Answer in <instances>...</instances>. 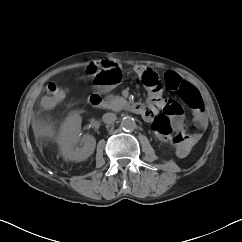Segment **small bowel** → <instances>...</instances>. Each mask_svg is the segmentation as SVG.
Listing matches in <instances>:
<instances>
[{
    "mask_svg": "<svg viewBox=\"0 0 242 242\" xmlns=\"http://www.w3.org/2000/svg\"><path fill=\"white\" fill-rule=\"evenodd\" d=\"M101 64L105 67H114L120 70V65L112 61H103ZM135 70L141 79L145 73L153 72L143 66H136ZM168 74H172L181 81H184L177 73L172 71L166 73L165 80ZM101 88L109 90L111 87L106 86ZM149 102L150 104L145 106L146 111L142 117L145 120H152L158 108L162 107L165 117H168L167 119L169 120L171 128V133L166 137V141L173 144L180 155H186L197 143L205 129L206 116L203 111L201 109L195 110L192 121L186 123L181 106L173 101L163 102L160 97V92L152 93Z\"/></svg>",
    "mask_w": 242,
    "mask_h": 242,
    "instance_id": "small-bowel-1",
    "label": "small bowel"
}]
</instances>
